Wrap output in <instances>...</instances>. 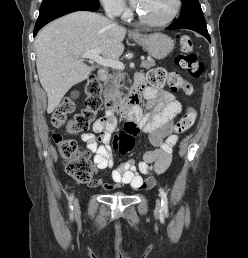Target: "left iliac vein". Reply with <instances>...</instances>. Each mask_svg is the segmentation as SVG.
Masks as SVG:
<instances>
[{
	"label": "left iliac vein",
	"instance_id": "4c4485c4",
	"mask_svg": "<svg viewBox=\"0 0 248 258\" xmlns=\"http://www.w3.org/2000/svg\"><path fill=\"white\" fill-rule=\"evenodd\" d=\"M161 208V201L159 198L156 200V211L159 212Z\"/></svg>",
	"mask_w": 248,
	"mask_h": 258
}]
</instances>
